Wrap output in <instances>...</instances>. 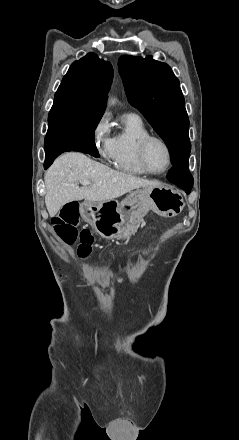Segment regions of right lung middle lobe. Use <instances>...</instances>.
<instances>
[{
  "instance_id": "dd1d6c3e",
  "label": "right lung middle lobe",
  "mask_w": 239,
  "mask_h": 440,
  "mask_svg": "<svg viewBox=\"0 0 239 440\" xmlns=\"http://www.w3.org/2000/svg\"><path fill=\"white\" fill-rule=\"evenodd\" d=\"M102 115L52 107L48 115L45 154L75 145H95L94 131Z\"/></svg>"
}]
</instances>
